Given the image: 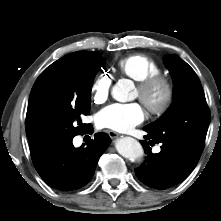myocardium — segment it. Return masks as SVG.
<instances>
[{"instance_id": "obj_1", "label": "myocardium", "mask_w": 221, "mask_h": 221, "mask_svg": "<svg viewBox=\"0 0 221 221\" xmlns=\"http://www.w3.org/2000/svg\"><path fill=\"white\" fill-rule=\"evenodd\" d=\"M140 100L147 111L155 116H161L168 111L174 98V87L170 78L158 73L150 75L138 82ZM156 89L162 90V97L158 103L151 101V95Z\"/></svg>"}]
</instances>
